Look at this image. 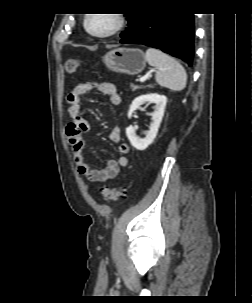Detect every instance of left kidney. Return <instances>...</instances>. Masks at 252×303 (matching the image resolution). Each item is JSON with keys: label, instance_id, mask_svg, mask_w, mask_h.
<instances>
[{"label": "left kidney", "instance_id": "5707ae66", "mask_svg": "<svg viewBox=\"0 0 252 303\" xmlns=\"http://www.w3.org/2000/svg\"><path fill=\"white\" fill-rule=\"evenodd\" d=\"M154 103L155 111L150 114L152 122L150 124L149 131L146 133L145 138H139L135 133V128L131 125L126 128V135L134 148L137 150H145L156 138L160 123L164 116V111L167 103V97L155 93L141 95L135 98L128 110V118H131L132 114L144 103Z\"/></svg>", "mask_w": 252, "mask_h": 303}]
</instances>
